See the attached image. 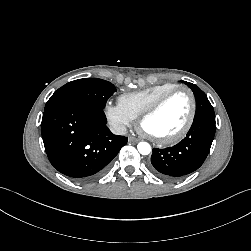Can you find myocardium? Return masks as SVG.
Masks as SVG:
<instances>
[{
    "label": "myocardium",
    "instance_id": "obj_1",
    "mask_svg": "<svg viewBox=\"0 0 251 251\" xmlns=\"http://www.w3.org/2000/svg\"><path fill=\"white\" fill-rule=\"evenodd\" d=\"M178 92H186L190 98V102H191V109H190V113L188 116V119L186 121V123L184 124V126L174 135L166 137V138H157L152 136L151 134L147 133L144 129H143V123L144 121L151 117L152 115H154L164 104L165 102L174 94L178 93ZM196 111H197V102H196V98L194 93L192 92L191 89H189L188 87L185 86H176L173 89L167 91L166 93H164L163 95H161L154 103H152L146 110H144L140 116L138 117V126L141 129V131L152 141H154L155 143L159 144V145H171V144H175L177 142H179L180 140H182L190 131L194 120H195V116H196Z\"/></svg>",
    "mask_w": 251,
    "mask_h": 251
}]
</instances>
